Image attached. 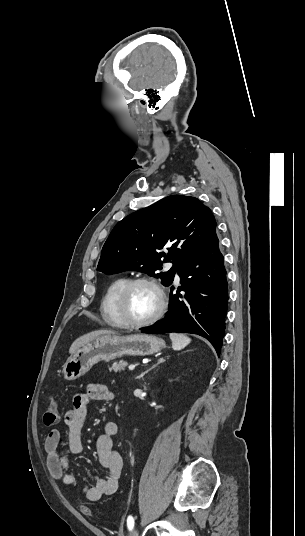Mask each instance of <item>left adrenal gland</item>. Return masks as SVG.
Segmentation results:
<instances>
[{
	"mask_svg": "<svg viewBox=\"0 0 305 536\" xmlns=\"http://www.w3.org/2000/svg\"><path fill=\"white\" fill-rule=\"evenodd\" d=\"M162 362H165L164 358H159L157 364H154V366H152V368H150V370H153V368H155V366H158V364H162ZM150 370H146V372H142V374H140V376H137L136 380H139V378H143V376H145V374H148V372H150Z\"/></svg>",
	"mask_w": 305,
	"mask_h": 536,
	"instance_id": "1",
	"label": "left adrenal gland"
}]
</instances>
